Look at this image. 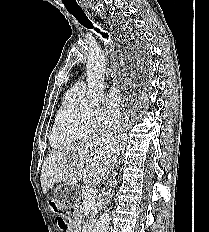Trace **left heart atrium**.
Returning a JSON list of instances; mask_svg holds the SVG:
<instances>
[{"instance_id": "left-heart-atrium-1", "label": "left heart atrium", "mask_w": 209, "mask_h": 232, "mask_svg": "<svg viewBox=\"0 0 209 232\" xmlns=\"http://www.w3.org/2000/svg\"><path fill=\"white\" fill-rule=\"evenodd\" d=\"M119 100L118 92L115 89H110L104 98V103L108 108L115 109Z\"/></svg>"}]
</instances>
